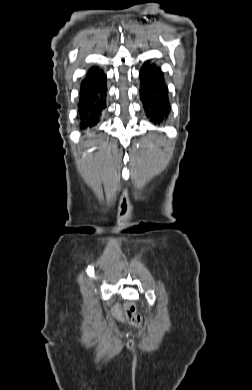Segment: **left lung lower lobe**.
Instances as JSON below:
<instances>
[{
    "instance_id": "left-lung-lower-lobe-1",
    "label": "left lung lower lobe",
    "mask_w": 252,
    "mask_h": 390,
    "mask_svg": "<svg viewBox=\"0 0 252 390\" xmlns=\"http://www.w3.org/2000/svg\"><path fill=\"white\" fill-rule=\"evenodd\" d=\"M140 99L147 118L155 125L168 117L170 103L163 72L148 61L140 70Z\"/></svg>"
}]
</instances>
